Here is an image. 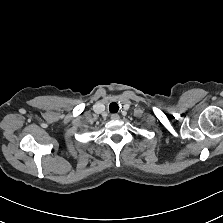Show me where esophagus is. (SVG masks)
Returning <instances> with one entry per match:
<instances>
[{"mask_svg":"<svg viewBox=\"0 0 223 223\" xmlns=\"http://www.w3.org/2000/svg\"><path fill=\"white\" fill-rule=\"evenodd\" d=\"M120 117H119V115L118 114H112L111 115V119L112 120H118Z\"/></svg>","mask_w":223,"mask_h":223,"instance_id":"34e87169","label":"esophagus"}]
</instances>
